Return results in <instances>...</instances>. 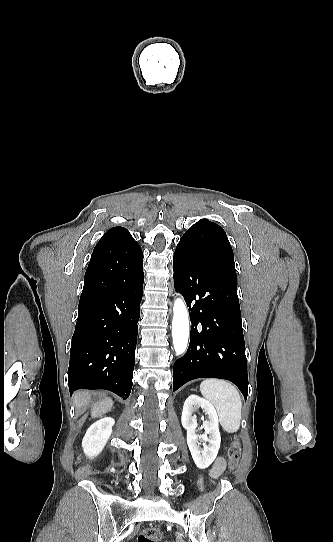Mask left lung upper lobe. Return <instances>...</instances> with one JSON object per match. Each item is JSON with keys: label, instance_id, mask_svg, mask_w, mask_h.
<instances>
[{"label": "left lung upper lobe", "instance_id": "obj_1", "mask_svg": "<svg viewBox=\"0 0 333 542\" xmlns=\"http://www.w3.org/2000/svg\"><path fill=\"white\" fill-rule=\"evenodd\" d=\"M178 245L185 247L197 261L236 275L233 250L221 226L201 219L184 233Z\"/></svg>", "mask_w": 333, "mask_h": 542}]
</instances>
